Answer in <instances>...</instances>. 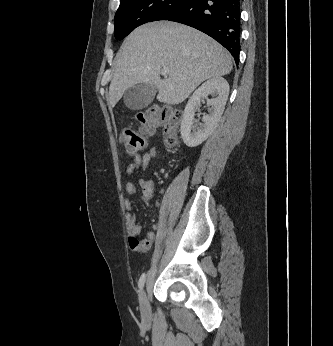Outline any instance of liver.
<instances>
[{"mask_svg":"<svg viewBox=\"0 0 333 346\" xmlns=\"http://www.w3.org/2000/svg\"><path fill=\"white\" fill-rule=\"evenodd\" d=\"M162 68L169 69L164 79ZM231 70V55L204 33L179 23H148L125 39L115 58L108 104L115 107L134 85L153 84L159 102L177 105L203 81Z\"/></svg>","mask_w":333,"mask_h":346,"instance_id":"obj_1","label":"liver"}]
</instances>
